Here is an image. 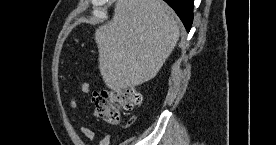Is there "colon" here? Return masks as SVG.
Here are the masks:
<instances>
[{
    "label": "colon",
    "mask_w": 276,
    "mask_h": 145,
    "mask_svg": "<svg viewBox=\"0 0 276 145\" xmlns=\"http://www.w3.org/2000/svg\"><path fill=\"white\" fill-rule=\"evenodd\" d=\"M96 115L111 125L121 121V110H134L140 106L142 95L132 85L107 88L92 95Z\"/></svg>",
    "instance_id": "5ec220e1"
}]
</instances>
